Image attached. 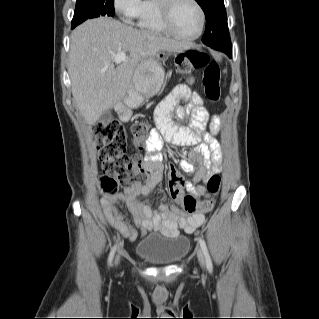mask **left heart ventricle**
<instances>
[{
    "label": "left heart ventricle",
    "instance_id": "left-heart-ventricle-1",
    "mask_svg": "<svg viewBox=\"0 0 319 319\" xmlns=\"http://www.w3.org/2000/svg\"><path fill=\"white\" fill-rule=\"evenodd\" d=\"M175 30L183 36H193L199 28V14L195 6L188 0H181L172 15Z\"/></svg>",
    "mask_w": 319,
    "mask_h": 319
}]
</instances>
